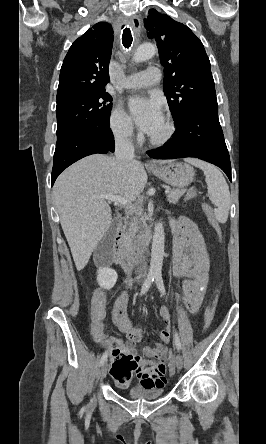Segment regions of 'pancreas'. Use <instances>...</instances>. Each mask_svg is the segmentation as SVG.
<instances>
[{"instance_id":"pancreas-1","label":"pancreas","mask_w":266,"mask_h":444,"mask_svg":"<svg viewBox=\"0 0 266 444\" xmlns=\"http://www.w3.org/2000/svg\"><path fill=\"white\" fill-rule=\"evenodd\" d=\"M185 189H173L168 194V201L169 203L176 204L180 197L185 193ZM146 226L145 218L141 216V214H138L135 216L131 223L130 227L127 232V238L132 242L133 247L135 248V242L137 239L136 234L138 232L142 233V228Z\"/></svg>"}]
</instances>
